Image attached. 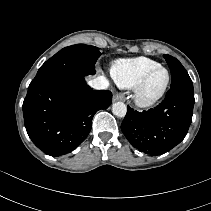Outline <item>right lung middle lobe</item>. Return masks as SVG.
<instances>
[{
    "label": "right lung middle lobe",
    "instance_id": "right-lung-middle-lobe-1",
    "mask_svg": "<svg viewBox=\"0 0 211 211\" xmlns=\"http://www.w3.org/2000/svg\"><path fill=\"white\" fill-rule=\"evenodd\" d=\"M101 55L94 46L77 44L65 47L47 60L36 77L55 74L86 76L95 73V63Z\"/></svg>",
    "mask_w": 211,
    "mask_h": 211
}]
</instances>
